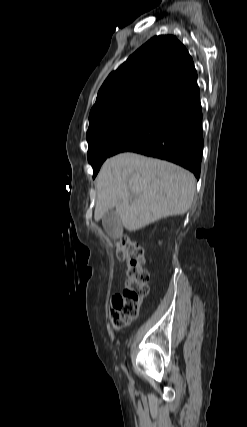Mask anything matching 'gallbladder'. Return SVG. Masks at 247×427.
Segmentation results:
<instances>
[{
    "label": "gallbladder",
    "mask_w": 247,
    "mask_h": 427,
    "mask_svg": "<svg viewBox=\"0 0 247 427\" xmlns=\"http://www.w3.org/2000/svg\"><path fill=\"white\" fill-rule=\"evenodd\" d=\"M102 224L106 233L112 238H119L122 235V223L119 214L113 208L108 210L102 217Z\"/></svg>",
    "instance_id": "gallbladder-1"
}]
</instances>
